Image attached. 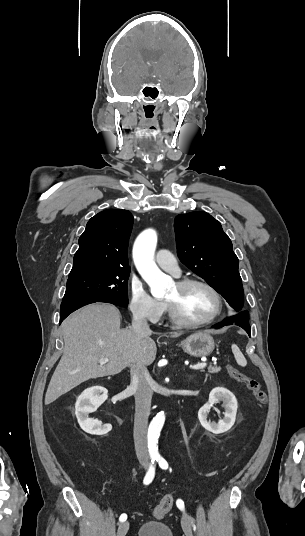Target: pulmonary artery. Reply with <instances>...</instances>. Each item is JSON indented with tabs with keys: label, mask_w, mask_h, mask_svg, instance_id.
I'll list each match as a JSON object with an SVG mask.
<instances>
[{
	"label": "pulmonary artery",
	"mask_w": 305,
	"mask_h": 536,
	"mask_svg": "<svg viewBox=\"0 0 305 536\" xmlns=\"http://www.w3.org/2000/svg\"><path fill=\"white\" fill-rule=\"evenodd\" d=\"M155 262L164 270L168 271L175 277H179L181 274V271L178 267L176 259L173 257V255L165 250L161 249L159 250L155 255Z\"/></svg>",
	"instance_id": "1"
}]
</instances>
